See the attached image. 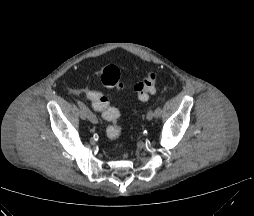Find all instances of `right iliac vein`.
Listing matches in <instances>:
<instances>
[{
    "instance_id": "obj_1",
    "label": "right iliac vein",
    "mask_w": 254,
    "mask_h": 216,
    "mask_svg": "<svg viewBox=\"0 0 254 216\" xmlns=\"http://www.w3.org/2000/svg\"><path fill=\"white\" fill-rule=\"evenodd\" d=\"M79 117H80L81 120L88 119V116H87L86 112L82 109L79 110Z\"/></svg>"
}]
</instances>
